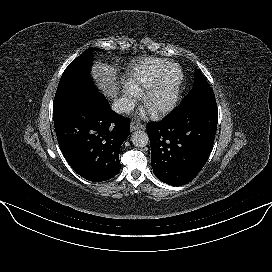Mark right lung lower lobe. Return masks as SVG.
<instances>
[{"instance_id": "1", "label": "right lung lower lobe", "mask_w": 272, "mask_h": 272, "mask_svg": "<svg viewBox=\"0 0 272 272\" xmlns=\"http://www.w3.org/2000/svg\"><path fill=\"white\" fill-rule=\"evenodd\" d=\"M53 119L60 149L81 177L101 182L120 171L119 150L130 122L115 113L101 93L72 97Z\"/></svg>"}]
</instances>
